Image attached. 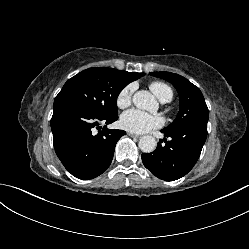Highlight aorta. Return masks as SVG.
<instances>
[{"instance_id": "762f6f07", "label": "aorta", "mask_w": 249, "mask_h": 249, "mask_svg": "<svg viewBox=\"0 0 249 249\" xmlns=\"http://www.w3.org/2000/svg\"><path fill=\"white\" fill-rule=\"evenodd\" d=\"M133 103L140 109H153L156 105L154 96L145 90L137 91L133 95ZM157 142L153 136L145 135L139 140V148L145 153H150L155 150Z\"/></svg>"}]
</instances>
